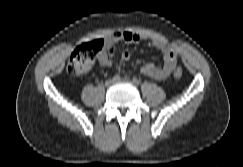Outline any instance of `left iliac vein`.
<instances>
[{"instance_id":"left-iliac-vein-1","label":"left iliac vein","mask_w":243,"mask_h":167,"mask_svg":"<svg viewBox=\"0 0 243 167\" xmlns=\"http://www.w3.org/2000/svg\"><path fill=\"white\" fill-rule=\"evenodd\" d=\"M118 83H131V81L129 79H122V80H119L117 81Z\"/></svg>"}]
</instances>
